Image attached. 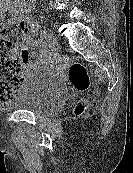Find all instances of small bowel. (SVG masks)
Instances as JSON below:
<instances>
[{"mask_svg": "<svg viewBox=\"0 0 133 173\" xmlns=\"http://www.w3.org/2000/svg\"><path fill=\"white\" fill-rule=\"evenodd\" d=\"M29 23H30V32L29 33L31 35H35L39 31L40 26L36 21L31 20V21H29ZM36 44H37V41L33 40L31 36H28L25 38V45L26 46L36 45ZM34 55L39 62H44V61L49 60V54L47 53L46 50H41V51L35 53ZM23 63L24 64H30L31 63L29 58H28V54H27V57L23 60Z\"/></svg>", "mask_w": 133, "mask_h": 173, "instance_id": "c3829d8e", "label": "small bowel"}]
</instances>
